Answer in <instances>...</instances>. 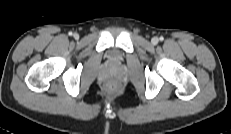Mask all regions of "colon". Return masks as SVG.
Listing matches in <instances>:
<instances>
[{
  "label": "colon",
  "instance_id": "1",
  "mask_svg": "<svg viewBox=\"0 0 231 134\" xmlns=\"http://www.w3.org/2000/svg\"><path fill=\"white\" fill-rule=\"evenodd\" d=\"M115 90H116V88L113 85L108 88L109 92H114Z\"/></svg>",
  "mask_w": 231,
  "mask_h": 134
}]
</instances>
